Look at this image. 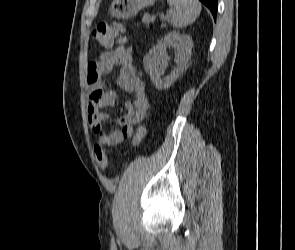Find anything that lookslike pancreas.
<instances>
[{
    "instance_id": "obj_1",
    "label": "pancreas",
    "mask_w": 295,
    "mask_h": 250,
    "mask_svg": "<svg viewBox=\"0 0 295 250\" xmlns=\"http://www.w3.org/2000/svg\"><path fill=\"white\" fill-rule=\"evenodd\" d=\"M152 17L149 14H145L143 16L142 22L145 24H149L152 21Z\"/></svg>"
}]
</instances>
